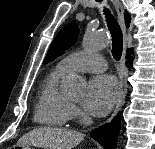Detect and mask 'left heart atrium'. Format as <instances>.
<instances>
[{
	"label": "left heart atrium",
	"mask_w": 155,
	"mask_h": 149,
	"mask_svg": "<svg viewBox=\"0 0 155 149\" xmlns=\"http://www.w3.org/2000/svg\"><path fill=\"white\" fill-rule=\"evenodd\" d=\"M118 94L119 87L112 76L94 77L88 84L84 107L92 115L104 116L116 103Z\"/></svg>",
	"instance_id": "39dd6f15"
}]
</instances>
